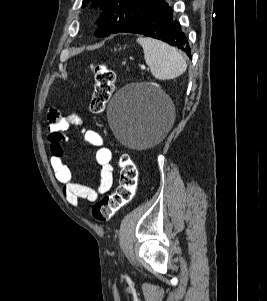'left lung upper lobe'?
I'll list each match as a JSON object with an SVG mask.
<instances>
[{"label": "left lung upper lobe", "instance_id": "1", "mask_svg": "<svg viewBox=\"0 0 267 301\" xmlns=\"http://www.w3.org/2000/svg\"><path fill=\"white\" fill-rule=\"evenodd\" d=\"M162 0H83L82 7L91 3V8L104 10L97 36L105 37L118 33L124 26L137 21L148 10L156 6Z\"/></svg>", "mask_w": 267, "mask_h": 301}]
</instances>
